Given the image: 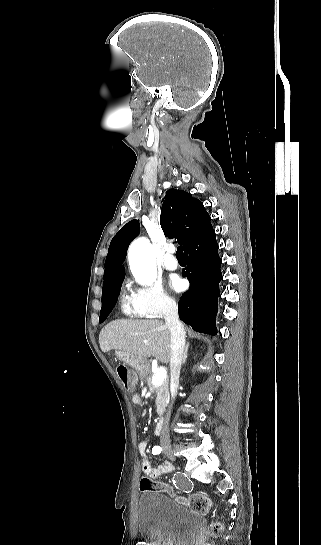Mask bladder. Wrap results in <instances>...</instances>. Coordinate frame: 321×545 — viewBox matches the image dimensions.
Segmentation results:
<instances>
[{"label": "bladder", "instance_id": "1", "mask_svg": "<svg viewBox=\"0 0 321 545\" xmlns=\"http://www.w3.org/2000/svg\"><path fill=\"white\" fill-rule=\"evenodd\" d=\"M137 526L151 545H192L205 529V518L162 491H146L138 500Z\"/></svg>", "mask_w": 321, "mask_h": 545}]
</instances>
